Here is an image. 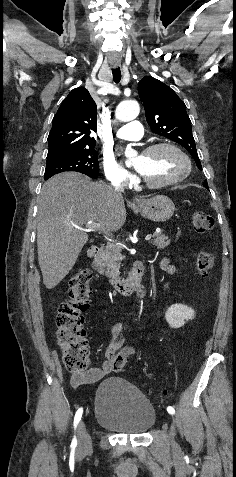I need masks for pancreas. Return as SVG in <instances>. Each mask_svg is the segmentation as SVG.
<instances>
[{
    "label": "pancreas",
    "mask_w": 236,
    "mask_h": 477,
    "mask_svg": "<svg viewBox=\"0 0 236 477\" xmlns=\"http://www.w3.org/2000/svg\"><path fill=\"white\" fill-rule=\"evenodd\" d=\"M153 244L158 249H164L170 244V240L162 232L153 234ZM121 247L117 243H108L100 252L95 263L98 272L105 274L108 278L115 279L119 276Z\"/></svg>",
    "instance_id": "cf45deb5"
}]
</instances>
